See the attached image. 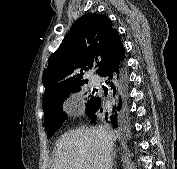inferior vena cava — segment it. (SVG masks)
<instances>
[{
  "mask_svg": "<svg viewBox=\"0 0 177 169\" xmlns=\"http://www.w3.org/2000/svg\"><path fill=\"white\" fill-rule=\"evenodd\" d=\"M97 132L102 140V155L104 166L103 169H111L112 164V150L114 143L106 130L102 127L97 129Z\"/></svg>",
  "mask_w": 177,
  "mask_h": 169,
  "instance_id": "1",
  "label": "inferior vena cava"
}]
</instances>
